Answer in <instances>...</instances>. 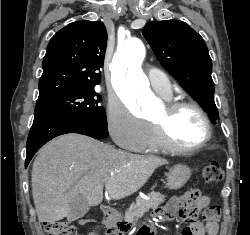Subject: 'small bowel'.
<instances>
[{
	"mask_svg": "<svg viewBox=\"0 0 250 235\" xmlns=\"http://www.w3.org/2000/svg\"><path fill=\"white\" fill-rule=\"evenodd\" d=\"M209 203L210 198L207 195L201 194L198 190H191L181 198H172L165 206L155 209L153 218L171 220L179 215L185 223L181 229V235H217L218 224L204 225L196 218L198 212ZM89 235L98 234L93 232Z\"/></svg>",
	"mask_w": 250,
	"mask_h": 235,
	"instance_id": "obj_1",
	"label": "small bowel"
}]
</instances>
